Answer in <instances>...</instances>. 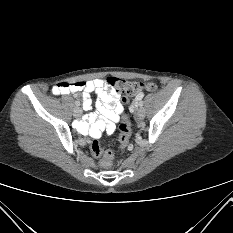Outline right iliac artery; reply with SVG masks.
<instances>
[{"mask_svg":"<svg viewBox=\"0 0 233 233\" xmlns=\"http://www.w3.org/2000/svg\"><path fill=\"white\" fill-rule=\"evenodd\" d=\"M75 105H76V106H79V105H80V102H79V101H75Z\"/></svg>","mask_w":233,"mask_h":233,"instance_id":"1","label":"right iliac artery"}]
</instances>
